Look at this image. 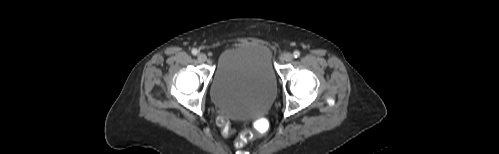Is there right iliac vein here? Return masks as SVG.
Wrapping results in <instances>:
<instances>
[{
  "instance_id": "63e3f726",
  "label": "right iliac vein",
  "mask_w": 499,
  "mask_h": 154,
  "mask_svg": "<svg viewBox=\"0 0 499 154\" xmlns=\"http://www.w3.org/2000/svg\"><path fill=\"white\" fill-rule=\"evenodd\" d=\"M198 60H199L200 62H205V61L207 60V56H206V54H205V53H199V54H198Z\"/></svg>"
}]
</instances>
